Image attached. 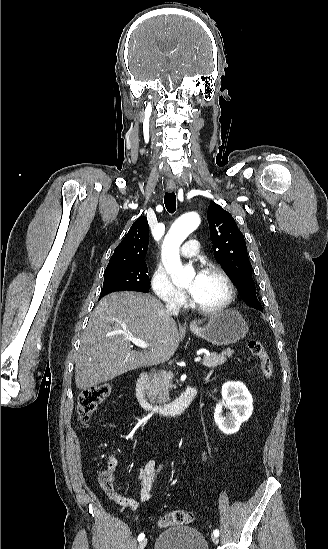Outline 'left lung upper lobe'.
<instances>
[{
  "label": "left lung upper lobe",
  "instance_id": "1",
  "mask_svg": "<svg viewBox=\"0 0 328 549\" xmlns=\"http://www.w3.org/2000/svg\"><path fill=\"white\" fill-rule=\"evenodd\" d=\"M207 218L216 261L237 287L245 303L249 306L258 304L245 239L234 218L216 203L210 204Z\"/></svg>",
  "mask_w": 328,
  "mask_h": 549
}]
</instances>
